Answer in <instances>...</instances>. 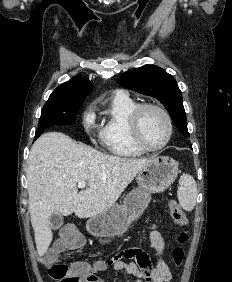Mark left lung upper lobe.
Instances as JSON below:
<instances>
[{
	"label": "left lung upper lobe",
	"mask_w": 232,
	"mask_h": 282,
	"mask_svg": "<svg viewBox=\"0 0 232 282\" xmlns=\"http://www.w3.org/2000/svg\"><path fill=\"white\" fill-rule=\"evenodd\" d=\"M117 82L124 88L157 98L168 110L175 125L189 136L181 91L172 75L158 66L145 65L124 73Z\"/></svg>",
	"instance_id": "1"
}]
</instances>
